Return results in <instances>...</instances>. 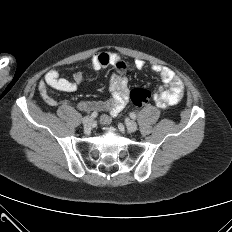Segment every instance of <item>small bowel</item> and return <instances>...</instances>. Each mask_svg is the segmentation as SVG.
<instances>
[{"instance_id": "small-bowel-1", "label": "small bowel", "mask_w": 232, "mask_h": 232, "mask_svg": "<svg viewBox=\"0 0 232 232\" xmlns=\"http://www.w3.org/2000/svg\"><path fill=\"white\" fill-rule=\"evenodd\" d=\"M107 66H113L116 70L109 82L112 97L106 101L86 100L76 104L77 109L82 112L106 111L107 114L100 118V123L103 125L109 124L112 116L117 115L124 109L130 94L129 80L126 75L128 64L116 53L99 52L92 57L91 68L94 71ZM134 67L142 70L145 68V62L136 59ZM151 69L164 83L155 94L156 105L160 108H167L177 104L184 94V84L181 78L171 69L159 64L152 65ZM84 78L85 73L82 71L74 73L71 79H66L61 78L56 70H50L46 73L44 80L39 83L38 89L46 104L56 106L58 102L50 95L48 88L51 87L62 92H74Z\"/></svg>"}]
</instances>
